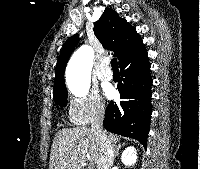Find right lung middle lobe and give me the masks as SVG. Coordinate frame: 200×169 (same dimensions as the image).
<instances>
[{"instance_id":"1","label":"right lung middle lobe","mask_w":200,"mask_h":169,"mask_svg":"<svg viewBox=\"0 0 200 169\" xmlns=\"http://www.w3.org/2000/svg\"><path fill=\"white\" fill-rule=\"evenodd\" d=\"M67 96H68L67 92H61V93L53 94L54 100L59 105L64 106V107L67 104Z\"/></svg>"}]
</instances>
